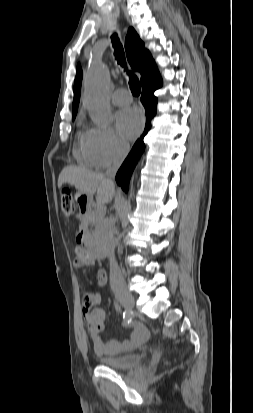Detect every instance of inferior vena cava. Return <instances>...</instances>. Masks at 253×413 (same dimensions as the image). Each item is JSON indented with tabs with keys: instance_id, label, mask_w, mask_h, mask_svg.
I'll return each instance as SVG.
<instances>
[{
	"instance_id": "inferior-vena-cava-1",
	"label": "inferior vena cava",
	"mask_w": 253,
	"mask_h": 413,
	"mask_svg": "<svg viewBox=\"0 0 253 413\" xmlns=\"http://www.w3.org/2000/svg\"><path fill=\"white\" fill-rule=\"evenodd\" d=\"M129 147L128 146H121L114 158L112 165L108 168L106 172L107 178L112 180L118 169L120 168L122 162L124 161ZM115 218L109 217L105 219L98 229L96 234V239L100 247L102 248L103 252L108 256L110 259V285L113 292L118 293L122 291H126L125 281L122 275L120 268L115 260V246H116V239L113 236V231L115 228Z\"/></svg>"
}]
</instances>
